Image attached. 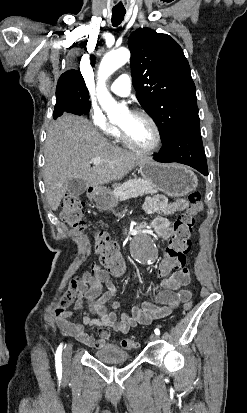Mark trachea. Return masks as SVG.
<instances>
[{
    "label": "trachea",
    "instance_id": "1",
    "mask_svg": "<svg viewBox=\"0 0 247 413\" xmlns=\"http://www.w3.org/2000/svg\"><path fill=\"white\" fill-rule=\"evenodd\" d=\"M126 11H113L112 12V24L114 27L120 25V23L124 20Z\"/></svg>",
    "mask_w": 247,
    "mask_h": 413
}]
</instances>
